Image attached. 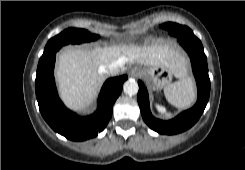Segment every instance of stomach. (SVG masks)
I'll use <instances>...</instances> for the list:
<instances>
[{
	"label": "stomach",
	"mask_w": 245,
	"mask_h": 170,
	"mask_svg": "<svg viewBox=\"0 0 245 170\" xmlns=\"http://www.w3.org/2000/svg\"><path fill=\"white\" fill-rule=\"evenodd\" d=\"M141 75L151 81L153 89H162L170 84L176 73L169 66H147L141 68Z\"/></svg>",
	"instance_id": "0dacf381"
}]
</instances>
